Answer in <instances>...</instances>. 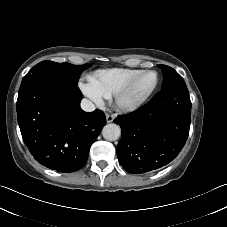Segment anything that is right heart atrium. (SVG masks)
<instances>
[{
	"label": "right heart atrium",
	"mask_w": 227,
	"mask_h": 227,
	"mask_svg": "<svg viewBox=\"0 0 227 227\" xmlns=\"http://www.w3.org/2000/svg\"><path fill=\"white\" fill-rule=\"evenodd\" d=\"M84 94L98 105L103 104L104 97L97 92L90 84L83 86Z\"/></svg>",
	"instance_id": "d8ad5b80"
}]
</instances>
